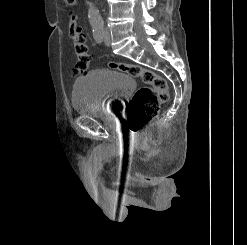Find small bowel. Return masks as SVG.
I'll return each mask as SVG.
<instances>
[{
    "instance_id": "obj_1",
    "label": "small bowel",
    "mask_w": 247,
    "mask_h": 245,
    "mask_svg": "<svg viewBox=\"0 0 247 245\" xmlns=\"http://www.w3.org/2000/svg\"><path fill=\"white\" fill-rule=\"evenodd\" d=\"M74 31L78 34H80V36L82 38H85L84 33L82 32L81 28L78 26L77 24V19L74 15H71L70 17V22H69V26H68V32L70 33V31ZM71 38V37H70Z\"/></svg>"
}]
</instances>
